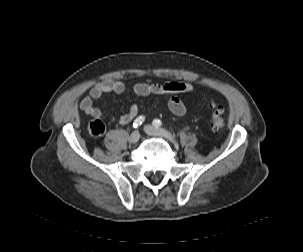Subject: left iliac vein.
I'll list each match as a JSON object with an SVG mask.
<instances>
[{
  "label": "left iliac vein",
  "instance_id": "4c4485c4",
  "mask_svg": "<svg viewBox=\"0 0 303 252\" xmlns=\"http://www.w3.org/2000/svg\"><path fill=\"white\" fill-rule=\"evenodd\" d=\"M144 129L148 135L162 137L172 143H175V139L172 134L163 128H156L152 125H146Z\"/></svg>",
  "mask_w": 303,
  "mask_h": 252
}]
</instances>
